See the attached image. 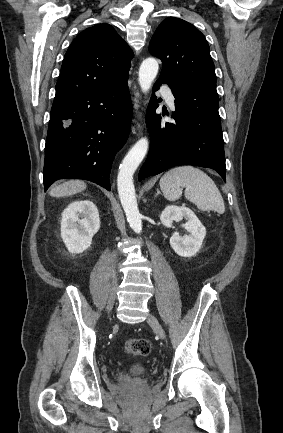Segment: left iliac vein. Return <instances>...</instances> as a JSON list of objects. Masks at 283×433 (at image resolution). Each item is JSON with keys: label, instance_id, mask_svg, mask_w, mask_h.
I'll return each instance as SVG.
<instances>
[{"label": "left iliac vein", "instance_id": "obj_1", "mask_svg": "<svg viewBox=\"0 0 283 433\" xmlns=\"http://www.w3.org/2000/svg\"><path fill=\"white\" fill-rule=\"evenodd\" d=\"M147 322L150 324V326L153 328L154 332L161 338L165 339V332L158 322V320L152 315L149 314L147 317Z\"/></svg>", "mask_w": 283, "mask_h": 433}]
</instances>
